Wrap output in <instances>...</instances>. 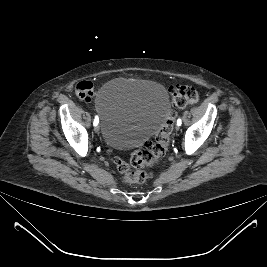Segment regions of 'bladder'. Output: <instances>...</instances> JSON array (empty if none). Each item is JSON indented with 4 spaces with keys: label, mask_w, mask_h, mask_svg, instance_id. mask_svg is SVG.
Instances as JSON below:
<instances>
[{
    "label": "bladder",
    "mask_w": 267,
    "mask_h": 267,
    "mask_svg": "<svg viewBox=\"0 0 267 267\" xmlns=\"http://www.w3.org/2000/svg\"><path fill=\"white\" fill-rule=\"evenodd\" d=\"M95 105L105 143L118 150L141 145L170 112L169 94L161 84L128 78L107 82Z\"/></svg>",
    "instance_id": "obj_1"
}]
</instances>
